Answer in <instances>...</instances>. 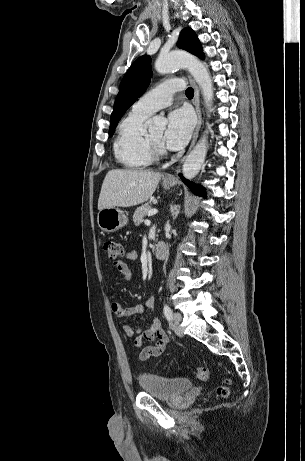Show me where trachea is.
Masks as SVG:
<instances>
[{
    "instance_id": "obj_1",
    "label": "trachea",
    "mask_w": 305,
    "mask_h": 461,
    "mask_svg": "<svg viewBox=\"0 0 305 461\" xmlns=\"http://www.w3.org/2000/svg\"><path fill=\"white\" fill-rule=\"evenodd\" d=\"M186 96L189 97V98H192L194 96V90L193 88H188L186 90Z\"/></svg>"
}]
</instances>
